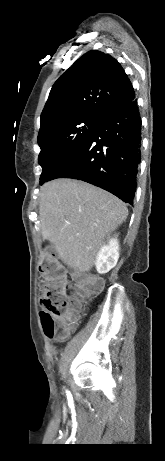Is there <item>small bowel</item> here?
<instances>
[{
  "label": "small bowel",
  "mask_w": 165,
  "mask_h": 461,
  "mask_svg": "<svg viewBox=\"0 0 165 461\" xmlns=\"http://www.w3.org/2000/svg\"><path fill=\"white\" fill-rule=\"evenodd\" d=\"M92 279H94L95 281H97L100 284V288L104 285V280L103 279L97 278V277H92ZM70 318H71V315L69 313H66L64 315L63 321L65 323H68L70 321Z\"/></svg>",
  "instance_id": "obj_1"
}]
</instances>
